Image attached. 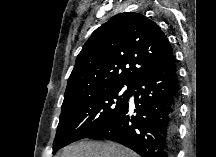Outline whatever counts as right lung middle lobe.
Segmentation results:
<instances>
[{"label":"right lung middle lobe","instance_id":"1","mask_svg":"<svg viewBox=\"0 0 216 157\" xmlns=\"http://www.w3.org/2000/svg\"><path fill=\"white\" fill-rule=\"evenodd\" d=\"M131 85L95 89L62 106L53 152L87 138L109 123L128 102Z\"/></svg>","mask_w":216,"mask_h":157}]
</instances>
